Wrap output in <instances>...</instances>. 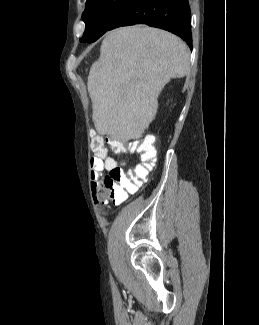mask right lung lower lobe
Segmentation results:
<instances>
[{
    "label": "right lung lower lobe",
    "mask_w": 259,
    "mask_h": 325,
    "mask_svg": "<svg viewBox=\"0 0 259 325\" xmlns=\"http://www.w3.org/2000/svg\"><path fill=\"white\" fill-rule=\"evenodd\" d=\"M135 24H147L172 32L192 47L188 0H129L108 30Z\"/></svg>",
    "instance_id": "obj_1"
}]
</instances>
